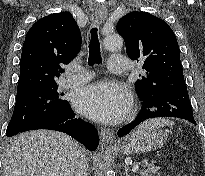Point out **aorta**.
<instances>
[{
  "mask_svg": "<svg viewBox=\"0 0 205 176\" xmlns=\"http://www.w3.org/2000/svg\"><path fill=\"white\" fill-rule=\"evenodd\" d=\"M103 44L106 50H117L122 47L123 39L118 34H110L105 37Z\"/></svg>",
  "mask_w": 205,
  "mask_h": 176,
  "instance_id": "obj_1",
  "label": "aorta"
}]
</instances>
